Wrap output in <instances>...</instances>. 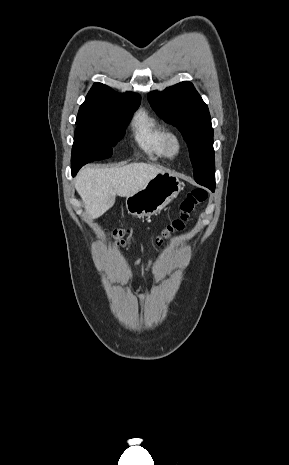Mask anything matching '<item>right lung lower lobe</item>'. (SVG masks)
Returning a JSON list of instances; mask_svg holds the SVG:
<instances>
[{
	"mask_svg": "<svg viewBox=\"0 0 289 465\" xmlns=\"http://www.w3.org/2000/svg\"><path fill=\"white\" fill-rule=\"evenodd\" d=\"M82 164H72L71 169H72V175L75 176L78 170L82 167Z\"/></svg>",
	"mask_w": 289,
	"mask_h": 465,
	"instance_id": "obj_1",
	"label": "right lung lower lobe"
}]
</instances>
